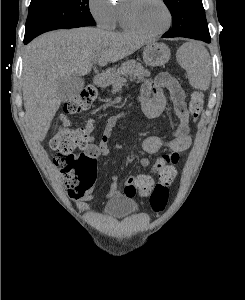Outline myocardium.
Instances as JSON below:
<instances>
[{
	"label": "myocardium",
	"mask_w": 245,
	"mask_h": 300,
	"mask_svg": "<svg viewBox=\"0 0 245 300\" xmlns=\"http://www.w3.org/2000/svg\"><path fill=\"white\" fill-rule=\"evenodd\" d=\"M161 5L163 6V8L166 11L167 14V23L166 25L158 30V31H148L146 29H144L135 19L134 17V13H133V9H134V5L136 2H138V0H125L124 5L122 6V16H123V21L125 23V25L131 29L133 32L145 35V36H150V37H155V36H159L163 33H165L171 26L172 24V13H171V9L168 6V4L166 3L165 0H158Z\"/></svg>",
	"instance_id": "obj_1"
}]
</instances>
